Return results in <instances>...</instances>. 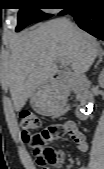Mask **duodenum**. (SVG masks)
Returning a JSON list of instances; mask_svg holds the SVG:
<instances>
[{
  "label": "duodenum",
  "instance_id": "1",
  "mask_svg": "<svg viewBox=\"0 0 104 169\" xmlns=\"http://www.w3.org/2000/svg\"><path fill=\"white\" fill-rule=\"evenodd\" d=\"M63 78L60 73L54 75L52 79L57 80ZM74 92L79 99V107L77 109V117L84 121L89 117V109L91 108L93 96L90 91V85L86 80L76 82Z\"/></svg>",
  "mask_w": 104,
  "mask_h": 169
}]
</instances>
